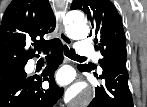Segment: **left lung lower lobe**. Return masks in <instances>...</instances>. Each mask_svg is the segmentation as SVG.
Returning <instances> with one entry per match:
<instances>
[{"mask_svg": "<svg viewBox=\"0 0 147 107\" xmlns=\"http://www.w3.org/2000/svg\"><path fill=\"white\" fill-rule=\"evenodd\" d=\"M104 79L101 87L96 88L95 98L88 107H134L131 92L128 86V72L126 58L113 57L101 64ZM80 71L93 72L83 66ZM93 74L98 78L96 72Z\"/></svg>", "mask_w": 147, "mask_h": 107, "instance_id": "0a47b994", "label": "left lung lower lobe"}]
</instances>
